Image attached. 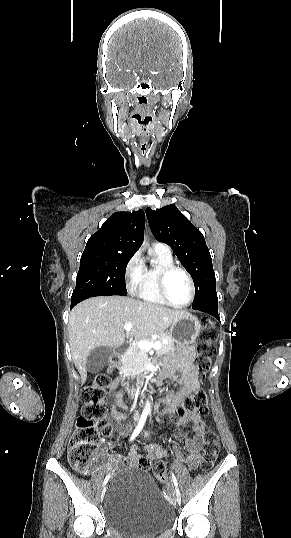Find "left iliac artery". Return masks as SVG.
Here are the masks:
<instances>
[{
  "mask_svg": "<svg viewBox=\"0 0 291 538\" xmlns=\"http://www.w3.org/2000/svg\"><path fill=\"white\" fill-rule=\"evenodd\" d=\"M171 476H172V481H173L174 485L177 487V486H178V482H177V479H176V477H175V475H174L173 472L171 473Z\"/></svg>",
  "mask_w": 291,
  "mask_h": 538,
  "instance_id": "44dca946",
  "label": "left iliac artery"
}]
</instances>
